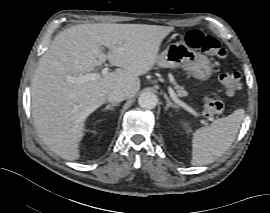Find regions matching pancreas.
Here are the masks:
<instances>
[{
	"instance_id": "cf45deb5",
	"label": "pancreas",
	"mask_w": 270,
	"mask_h": 213,
	"mask_svg": "<svg viewBox=\"0 0 270 213\" xmlns=\"http://www.w3.org/2000/svg\"><path fill=\"white\" fill-rule=\"evenodd\" d=\"M175 88L177 90V96L184 97L187 95V91L184 90V87L179 86V85H175Z\"/></svg>"
}]
</instances>
